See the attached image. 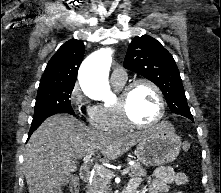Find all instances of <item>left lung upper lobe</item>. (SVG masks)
I'll return each mask as SVG.
<instances>
[{"label":"left lung upper lobe","mask_w":221,"mask_h":193,"mask_svg":"<svg viewBox=\"0 0 221 193\" xmlns=\"http://www.w3.org/2000/svg\"><path fill=\"white\" fill-rule=\"evenodd\" d=\"M124 67L155 83L172 112L192 117L177 65L159 41L148 35L133 38Z\"/></svg>","instance_id":"obj_1"}]
</instances>
